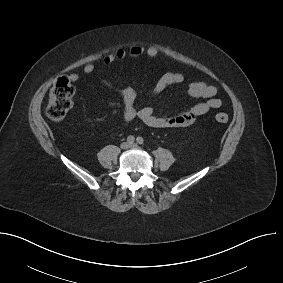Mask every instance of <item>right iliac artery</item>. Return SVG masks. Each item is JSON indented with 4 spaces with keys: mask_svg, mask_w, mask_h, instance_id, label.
<instances>
[{
    "mask_svg": "<svg viewBox=\"0 0 283 283\" xmlns=\"http://www.w3.org/2000/svg\"><path fill=\"white\" fill-rule=\"evenodd\" d=\"M135 138L133 136H128L127 141L128 143L132 144L134 142Z\"/></svg>",
    "mask_w": 283,
    "mask_h": 283,
    "instance_id": "right-iliac-artery-1",
    "label": "right iliac artery"
}]
</instances>
